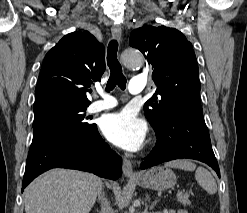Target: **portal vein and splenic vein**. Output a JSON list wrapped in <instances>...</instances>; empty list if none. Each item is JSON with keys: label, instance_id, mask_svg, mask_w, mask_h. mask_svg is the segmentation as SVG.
Masks as SVG:
<instances>
[{"label": "portal vein and splenic vein", "instance_id": "obj_1", "mask_svg": "<svg viewBox=\"0 0 247 213\" xmlns=\"http://www.w3.org/2000/svg\"><path fill=\"white\" fill-rule=\"evenodd\" d=\"M176 195L177 196L182 195V191L178 190Z\"/></svg>", "mask_w": 247, "mask_h": 213}]
</instances>
